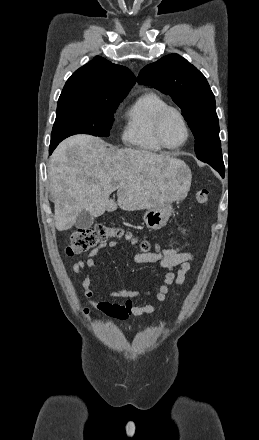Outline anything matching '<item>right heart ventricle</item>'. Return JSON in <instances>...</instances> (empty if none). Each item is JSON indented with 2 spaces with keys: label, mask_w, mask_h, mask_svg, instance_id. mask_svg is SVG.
Here are the masks:
<instances>
[{
  "label": "right heart ventricle",
  "mask_w": 259,
  "mask_h": 440,
  "mask_svg": "<svg viewBox=\"0 0 259 440\" xmlns=\"http://www.w3.org/2000/svg\"><path fill=\"white\" fill-rule=\"evenodd\" d=\"M166 106V101L154 92H146L136 98L124 114V143L144 152L162 151L155 139L154 124L157 115Z\"/></svg>",
  "instance_id": "e07e8e85"
}]
</instances>
